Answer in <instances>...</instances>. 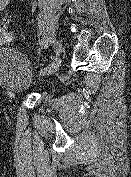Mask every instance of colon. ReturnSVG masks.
I'll list each match as a JSON object with an SVG mask.
<instances>
[{
  "label": "colon",
  "instance_id": "1",
  "mask_svg": "<svg viewBox=\"0 0 131 177\" xmlns=\"http://www.w3.org/2000/svg\"><path fill=\"white\" fill-rule=\"evenodd\" d=\"M12 40L9 20L7 18L0 19V46L7 45Z\"/></svg>",
  "mask_w": 131,
  "mask_h": 177
}]
</instances>
